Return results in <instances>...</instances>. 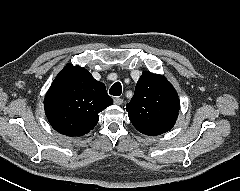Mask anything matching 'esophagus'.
<instances>
[{"instance_id":"1","label":"esophagus","mask_w":240,"mask_h":191,"mask_svg":"<svg viewBox=\"0 0 240 191\" xmlns=\"http://www.w3.org/2000/svg\"><path fill=\"white\" fill-rule=\"evenodd\" d=\"M123 103V99L119 98V97H116L114 99V104L116 105H121Z\"/></svg>"}]
</instances>
